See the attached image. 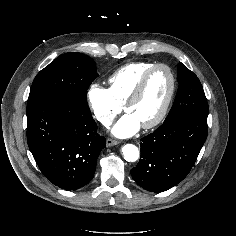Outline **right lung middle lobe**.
I'll return each mask as SVG.
<instances>
[{"mask_svg":"<svg viewBox=\"0 0 236 236\" xmlns=\"http://www.w3.org/2000/svg\"><path fill=\"white\" fill-rule=\"evenodd\" d=\"M97 77L95 62L90 57L65 53L36 75L28 104L50 100L88 106L87 89Z\"/></svg>","mask_w":236,"mask_h":236,"instance_id":"1","label":"right lung middle lobe"}]
</instances>
